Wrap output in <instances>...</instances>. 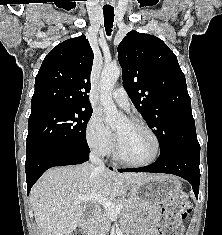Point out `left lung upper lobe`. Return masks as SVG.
<instances>
[{"label":"left lung upper lobe","instance_id":"left-lung-upper-lobe-1","mask_svg":"<svg viewBox=\"0 0 222 235\" xmlns=\"http://www.w3.org/2000/svg\"><path fill=\"white\" fill-rule=\"evenodd\" d=\"M123 87L157 135L160 154L200 148L191 99L176 55L156 36L135 30L118 46Z\"/></svg>","mask_w":222,"mask_h":235}]
</instances>
